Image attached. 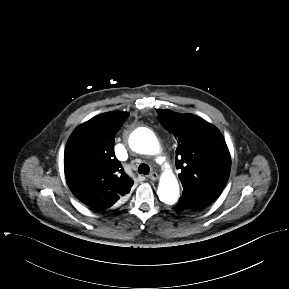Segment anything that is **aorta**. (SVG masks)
I'll use <instances>...</instances> for the list:
<instances>
[{
	"label": "aorta",
	"instance_id": "aorta-1",
	"mask_svg": "<svg viewBox=\"0 0 289 289\" xmlns=\"http://www.w3.org/2000/svg\"><path fill=\"white\" fill-rule=\"evenodd\" d=\"M131 149L140 154L154 155L159 152V142L152 131L144 129L131 134L129 139ZM157 194L160 201L172 205L179 196V184L175 175L167 170L160 178Z\"/></svg>",
	"mask_w": 289,
	"mask_h": 289
}]
</instances>
